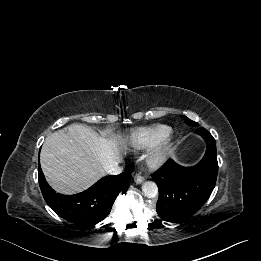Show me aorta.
<instances>
[{
    "label": "aorta",
    "mask_w": 261,
    "mask_h": 261,
    "mask_svg": "<svg viewBox=\"0 0 261 261\" xmlns=\"http://www.w3.org/2000/svg\"><path fill=\"white\" fill-rule=\"evenodd\" d=\"M142 192L146 197L153 198L158 195V187L155 182L146 181L142 185Z\"/></svg>",
    "instance_id": "762f6f07"
}]
</instances>
